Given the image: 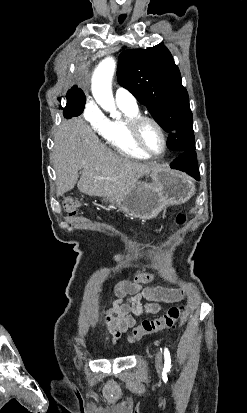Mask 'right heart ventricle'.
Returning a JSON list of instances; mask_svg holds the SVG:
<instances>
[{"label": "right heart ventricle", "instance_id": "e07e8e85", "mask_svg": "<svg viewBox=\"0 0 247 413\" xmlns=\"http://www.w3.org/2000/svg\"><path fill=\"white\" fill-rule=\"evenodd\" d=\"M120 106L126 111V115L123 119L111 122L106 126L107 130L104 133L106 142L124 157L148 160L149 157L134 145L131 138V125L137 115L131 108Z\"/></svg>", "mask_w": 247, "mask_h": 413}]
</instances>
